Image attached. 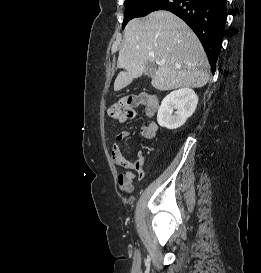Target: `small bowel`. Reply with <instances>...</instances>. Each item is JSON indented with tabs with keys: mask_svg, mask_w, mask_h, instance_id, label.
I'll return each mask as SVG.
<instances>
[{
	"mask_svg": "<svg viewBox=\"0 0 261 273\" xmlns=\"http://www.w3.org/2000/svg\"><path fill=\"white\" fill-rule=\"evenodd\" d=\"M140 104L145 105V112L148 117H153L159 107V100L149 94H141L139 96ZM120 124H125L128 121L127 117H121L117 119ZM158 130V124L155 121H150L139 132V138L141 140H148L155 137ZM129 137L128 130H121L116 135V142L112 148V158L114 162L125 168L127 171L118 175V186L120 190L124 192H131L133 190V180L138 175L143 173L144 154L142 151H138L133 159H127L121 149L120 142ZM134 171L135 173H133Z\"/></svg>",
	"mask_w": 261,
	"mask_h": 273,
	"instance_id": "c3829d8e",
	"label": "small bowel"
}]
</instances>
